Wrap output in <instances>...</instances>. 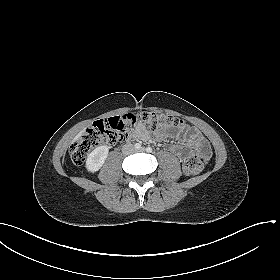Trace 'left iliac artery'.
Wrapping results in <instances>:
<instances>
[{
    "label": "left iliac artery",
    "instance_id": "left-iliac-artery-1",
    "mask_svg": "<svg viewBox=\"0 0 280 280\" xmlns=\"http://www.w3.org/2000/svg\"><path fill=\"white\" fill-rule=\"evenodd\" d=\"M146 151H147L148 153H151V152H152V148H151V147H147V148H146Z\"/></svg>",
    "mask_w": 280,
    "mask_h": 280
}]
</instances>
